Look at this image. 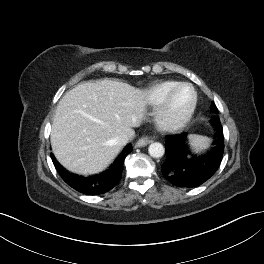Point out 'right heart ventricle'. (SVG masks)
<instances>
[{
	"label": "right heart ventricle",
	"mask_w": 264,
	"mask_h": 264,
	"mask_svg": "<svg viewBox=\"0 0 264 264\" xmlns=\"http://www.w3.org/2000/svg\"><path fill=\"white\" fill-rule=\"evenodd\" d=\"M178 83L179 82L174 80H165L152 85L144 93L146 102L152 107H158L163 102L168 92Z\"/></svg>",
	"instance_id": "right-heart-ventricle-1"
}]
</instances>
